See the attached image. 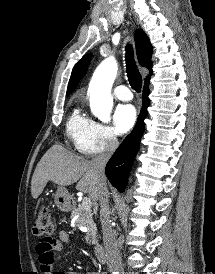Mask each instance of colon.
Returning a JSON list of instances; mask_svg holds the SVG:
<instances>
[{
	"mask_svg": "<svg viewBox=\"0 0 215 274\" xmlns=\"http://www.w3.org/2000/svg\"><path fill=\"white\" fill-rule=\"evenodd\" d=\"M54 232V224L51 218L50 209L42 206L39 209L36 221L33 224V233L41 238L51 239Z\"/></svg>",
	"mask_w": 215,
	"mask_h": 274,
	"instance_id": "5ec220e1",
	"label": "colon"
}]
</instances>
